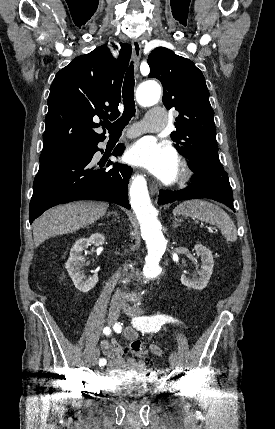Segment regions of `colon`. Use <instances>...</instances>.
<instances>
[{
  "instance_id": "5ec220e1",
  "label": "colon",
  "mask_w": 275,
  "mask_h": 429,
  "mask_svg": "<svg viewBox=\"0 0 275 429\" xmlns=\"http://www.w3.org/2000/svg\"><path fill=\"white\" fill-rule=\"evenodd\" d=\"M131 349L136 356H138L139 358L145 359L149 365L151 364V359L146 357L145 351L140 341L133 342ZM153 373H154V370L152 368H149L147 374L152 375Z\"/></svg>"
}]
</instances>
